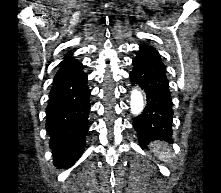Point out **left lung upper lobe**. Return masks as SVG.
<instances>
[{
    "instance_id": "left-lung-upper-lobe-1",
    "label": "left lung upper lobe",
    "mask_w": 221,
    "mask_h": 193,
    "mask_svg": "<svg viewBox=\"0 0 221 193\" xmlns=\"http://www.w3.org/2000/svg\"><path fill=\"white\" fill-rule=\"evenodd\" d=\"M154 134H155V135H158L159 133H158V132H155Z\"/></svg>"
}]
</instances>
